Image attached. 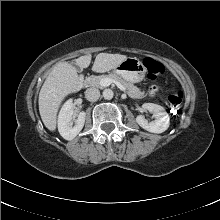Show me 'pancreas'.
<instances>
[{
  "instance_id": "pancreas-1",
  "label": "pancreas",
  "mask_w": 220,
  "mask_h": 220,
  "mask_svg": "<svg viewBox=\"0 0 220 220\" xmlns=\"http://www.w3.org/2000/svg\"><path fill=\"white\" fill-rule=\"evenodd\" d=\"M103 78H109V79H112L114 81L119 82L121 85L124 86V88L126 89L127 94L131 98L140 99V98H143L145 96L144 91H141L137 86L133 85L132 83L123 80L121 77H119L115 73H109L107 75H100V76H91L86 80V82L89 86L102 87L100 85V80L103 79Z\"/></svg>"
}]
</instances>
